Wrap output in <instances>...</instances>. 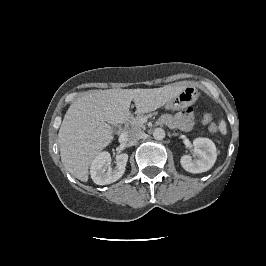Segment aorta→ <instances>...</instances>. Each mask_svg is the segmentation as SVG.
<instances>
[{
  "instance_id": "1",
  "label": "aorta",
  "mask_w": 266,
  "mask_h": 266,
  "mask_svg": "<svg viewBox=\"0 0 266 266\" xmlns=\"http://www.w3.org/2000/svg\"><path fill=\"white\" fill-rule=\"evenodd\" d=\"M153 137L156 140H162L165 137V131L162 128H155L153 131Z\"/></svg>"
}]
</instances>
